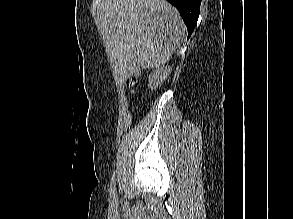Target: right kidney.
Instances as JSON below:
<instances>
[{
  "instance_id": "1",
  "label": "right kidney",
  "mask_w": 293,
  "mask_h": 219,
  "mask_svg": "<svg viewBox=\"0 0 293 219\" xmlns=\"http://www.w3.org/2000/svg\"><path fill=\"white\" fill-rule=\"evenodd\" d=\"M171 71L172 68L170 66L156 68V70H154L149 75V88H151V90L156 89L160 84H162L167 79Z\"/></svg>"
}]
</instances>
